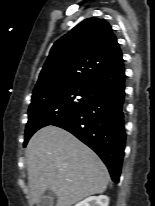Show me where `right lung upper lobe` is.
Returning <instances> with one entry per match:
<instances>
[{
  "mask_svg": "<svg viewBox=\"0 0 155 206\" xmlns=\"http://www.w3.org/2000/svg\"><path fill=\"white\" fill-rule=\"evenodd\" d=\"M124 77L122 52L111 26L88 18L54 43L33 94L75 85L102 91Z\"/></svg>",
  "mask_w": 155,
  "mask_h": 206,
  "instance_id": "cb5924a9",
  "label": "right lung upper lobe"
}]
</instances>
